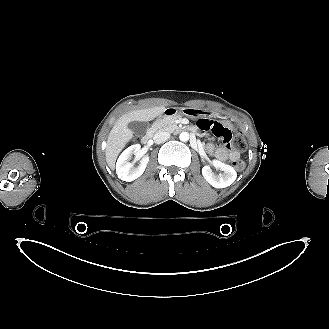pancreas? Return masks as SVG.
<instances>
[{
    "label": "pancreas",
    "instance_id": "pancreas-1",
    "mask_svg": "<svg viewBox=\"0 0 329 329\" xmlns=\"http://www.w3.org/2000/svg\"><path fill=\"white\" fill-rule=\"evenodd\" d=\"M179 119V116H172V117H163L157 119L153 126L157 128L159 131H168V132H178V126L176 124V120Z\"/></svg>",
    "mask_w": 329,
    "mask_h": 329
}]
</instances>
